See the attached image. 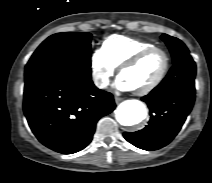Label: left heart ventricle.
<instances>
[{
	"mask_svg": "<svg viewBox=\"0 0 212 183\" xmlns=\"http://www.w3.org/2000/svg\"><path fill=\"white\" fill-rule=\"evenodd\" d=\"M164 65L162 52H153L136 66L125 70L121 77L132 89L143 88L153 82L160 74Z\"/></svg>",
	"mask_w": 212,
	"mask_h": 183,
	"instance_id": "obj_1",
	"label": "left heart ventricle"
}]
</instances>
